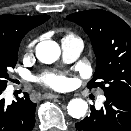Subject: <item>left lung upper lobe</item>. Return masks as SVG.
<instances>
[{
    "label": "left lung upper lobe",
    "instance_id": "1",
    "mask_svg": "<svg viewBox=\"0 0 131 131\" xmlns=\"http://www.w3.org/2000/svg\"><path fill=\"white\" fill-rule=\"evenodd\" d=\"M91 39L96 71L88 88L101 87L105 95L131 100V28L118 16L104 10L68 15Z\"/></svg>",
    "mask_w": 131,
    "mask_h": 131
}]
</instances>
